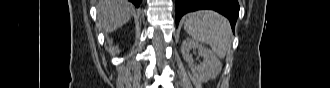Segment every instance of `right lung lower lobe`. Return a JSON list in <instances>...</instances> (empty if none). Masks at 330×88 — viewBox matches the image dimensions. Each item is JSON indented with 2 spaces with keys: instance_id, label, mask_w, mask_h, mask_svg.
Listing matches in <instances>:
<instances>
[{
  "instance_id": "1",
  "label": "right lung lower lobe",
  "mask_w": 330,
  "mask_h": 88,
  "mask_svg": "<svg viewBox=\"0 0 330 88\" xmlns=\"http://www.w3.org/2000/svg\"><path fill=\"white\" fill-rule=\"evenodd\" d=\"M129 1L132 2L136 7H139L142 0H129Z\"/></svg>"
}]
</instances>
